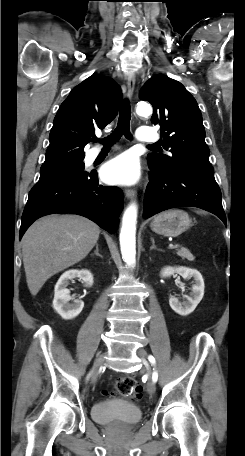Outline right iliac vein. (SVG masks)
<instances>
[{
	"label": "right iliac vein",
	"mask_w": 245,
	"mask_h": 456,
	"mask_svg": "<svg viewBox=\"0 0 245 456\" xmlns=\"http://www.w3.org/2000/svg\"><path fill=\"white\" fill-rule=\"evenodd\" d=\"M103 361H104V356H103V354L99 355V356L96 358L95 364H94V372H93V375H92V383H95V382H96L97 377H98V370H99V368L102 366Z\"/></svg>",
	"instance_id": "63e3f726"
}]
</instances>
